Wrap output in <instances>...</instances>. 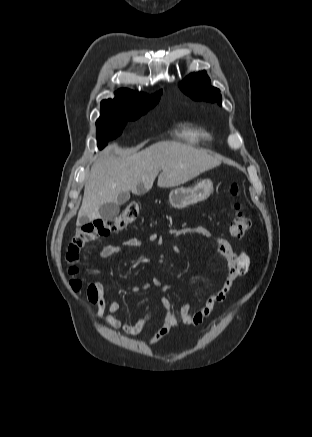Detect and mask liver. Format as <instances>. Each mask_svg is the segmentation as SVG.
Instances as JSON below:
<instances>
[{
	"instance_id": "1",
	"label": "liver",
	"mask_w": 312,
	"mask_h": 437,
	"mask_svg": "<svg viewBox=\"0 0 312 437\" xmlns=\"http://www.w3.org/2000/svg\"><path fill=\"white\" fill-rule=\"evenodd\" d=\"M115 145L101 152L87 176L77 226L100 218L101 205L116 202L121 192H148L158 176V187L179 186L221 164L220 158L205 150L175 141H162L127 157L114 155ZM86 223V222H85Z\"/></svg>"
}]
</instances>
